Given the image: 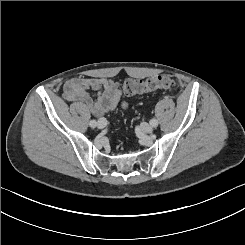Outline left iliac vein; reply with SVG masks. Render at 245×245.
<instances>
[{"label":"left iliac vein","mask_w":245,"mask_h":245,"mask_svg":"<svg viewBox=\"0 0 245 245\" xmlns=\"http://www.w3.org/2000/svg\"><path fill=\"white\" fill-rule=\"evenodd\" d=\"M141 128L145 133H151L153 131V127L148 123H142Z\"/></svg>","instance_id":"1"}]
</instances>
